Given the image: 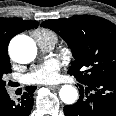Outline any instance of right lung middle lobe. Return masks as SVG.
<instances>
[{
	"label": "right lung middle lobe",
	"mask_w": 116,
	"mask_h": 116,
	"mask_svg": "<svg viewBox=\"0 0 116 116\" xmlns=\"http://www.w3.org/2000/svg\"><path fill=\"white\" fill-rule=\"evenodd\" d=\"M11 73L10 59L8 56L0 57V97L7 94L6 82L4 80L5 75Z\"/></svg>",
	"instance_id": "dd1d6c3e"
}]
</instances>
